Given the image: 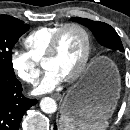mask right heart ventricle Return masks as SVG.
I'll return each mask as SVG.
<instances>
[{"label":"right heart ventricle","mask_w":130,"mask_h":130,"mask_svg":"<svg viewBox=\"0 0 130 130\" xmlns=\"http://www.w3.org/2000/svg\"><path fill=\"white\" fill-rule=\"evenodd\" d=\"M61 26H42L31 31L24 39V45L28 54L40 62L45 57L50 42Z\"/></svg>","instance_id":"e07e8e85"}]
</instances>
